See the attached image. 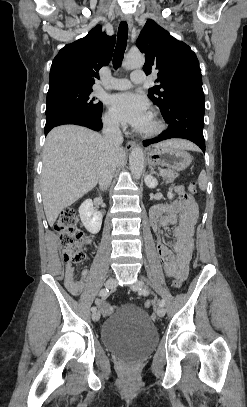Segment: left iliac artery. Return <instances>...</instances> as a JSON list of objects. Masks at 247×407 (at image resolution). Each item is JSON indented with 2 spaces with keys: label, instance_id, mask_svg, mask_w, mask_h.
<instances>
[{
  "label": "left iliac artery",
  "instance_id": "44dca946",
  "mask_svg": "<svg viewBox=\"0 0 247 407\" xmlns=\"http://www.w3.org/2000/svg\"><path fill=\"white\" fill-rule=\"evenodd\" d=\"M144 295H148L149 294V290H147L146 288L145 289H142V291H141ZM165 305V301L164 300H160L159 301V306H161V307H163Z\"/></svg>",
  "mask_w": 247,
  "mask_h": 407
}]
</instances>
